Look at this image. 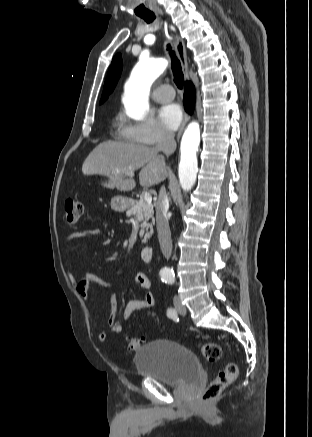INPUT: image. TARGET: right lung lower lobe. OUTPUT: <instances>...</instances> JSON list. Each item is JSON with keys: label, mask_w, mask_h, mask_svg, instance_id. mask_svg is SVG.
I'll use <instances>...</instances> for the list:
<instances>
[{"label": "right lung lower lobe", "mask_w": 312, "mask_h": 437, "mask_svg": "<svg viewBox=\"0 0 312 437\" xmlns=\"http://www.w3.org/2000/svg\"><path fill=\"white\" fill-rule=\"evenodd\" d=\"M195 103V90L191 82L185 83L184 105L189 113H192Z\"/></svg>", "instance_id": "right-lung-lower-lobe-1"}]
</instances>
